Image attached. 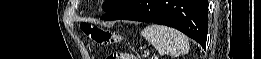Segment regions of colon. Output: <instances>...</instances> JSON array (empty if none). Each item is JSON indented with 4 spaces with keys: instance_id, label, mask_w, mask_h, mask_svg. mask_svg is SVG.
Segmentation results:
<instances>
[{
    "instance_id": "1",
    "label": "colon",
    "mask_w": 261,
    "mask_h": 59,
    "mask_svg": "<svg viewBox=\"0 0 261 59\" xmlns=\"http://www.w3.org/2000/svg\"><path fill=\"white\" fill-rule=\"evenodd\" d=\"M83 32L96 44L98 45H108L112 43H116L119 41V36L107 29L94 26V25H83ZM120 56L117 54H111L108 59H119ZM126 59H135L133 55L128 54Z\"/></svg>"
}]
</instances>
